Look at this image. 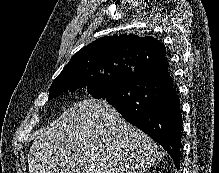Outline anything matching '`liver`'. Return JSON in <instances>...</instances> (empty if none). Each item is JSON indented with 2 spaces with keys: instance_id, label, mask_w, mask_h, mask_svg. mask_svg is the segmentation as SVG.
<instances>
[{
  "instance_id": "liver-1",
  "label": "liver",
  "mask_w": 219,
  "mask_h": 173,
  "mask_svg": "<svg viewBox=\"0 0 219 173\" xmlns=\"http://www.w3.org/2000/svg\"><path fill=\"white\" fill-rule=\"evenodd\" d=\"M164 153L106 100L75 103L37 132L30 173H145Z\"/></svg>"
}]
</instances>
